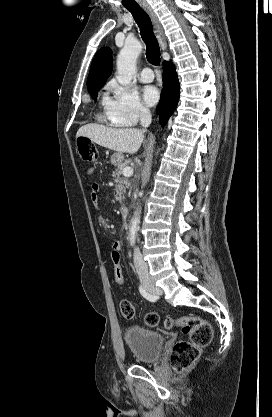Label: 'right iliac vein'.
Listing matches in <instances>:
<instances>
[{
    "mask_svg": "<svg viewBox=\"0 0 272 417\" xmlns=\"http://www.w3.org/2000/svg\"><path fill=\"white\" fill-rule=\"evenodd\" d=\"M140 280H141V282H142V284H143V286L149 291V292H151V293H153V294H161L162 293V291H161V289L160 288H158L157 286H155V284H154V282L150 279V278H148V277H145V276H141L140 277Z\"/></svg>",
    "mask_w": 272,
    "mask_h": 417,
    "instance_id": "63e3f726",
    "label": "right iliac vein"
}]
</instances>
